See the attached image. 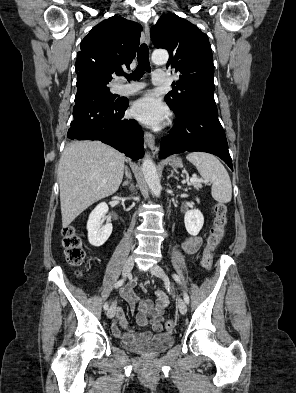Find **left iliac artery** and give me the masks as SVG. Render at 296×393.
Masks as SVG:
<instances>
[{"mask_svg":"<svg viewBox=\"0 0 296 393\" xmlns=\"http://www.w3.org/2000/svg\"><path fill=\"white\" fill-rule=\"evenodd\" d=\"M172 278H173L179 285L182 286L181 278H180L177 274L173 273V274H172ZM183 298H184V301H185L187 304H189V301H190V300H189V296H188V294L186 293L185 290H183Z\"/></svg>","mask_w":296,"mask_h":393,"instance_id":"left-iliac-artery-1","label":"left iliac artery"}]
</instances>
